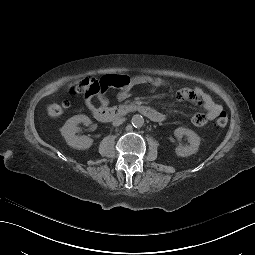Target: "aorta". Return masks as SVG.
Instances as JSON below:
<instances>
[{
	"mask_svg": "<svg viewBox=\"0 0 255 255\" xmlns=\"http://www.w3.org/2000/svg\"><path fill=\"white\" fill-rule=\"evenodd\" d=\"M131 123L135 128H141L144 124V118L141 115L136 114L132 117Z\"/></svg>",
	"mask_w": 255,
	"mask_h": 255,
	"instance_id": "1",
	"label": "aorta"
}]
</instances>
